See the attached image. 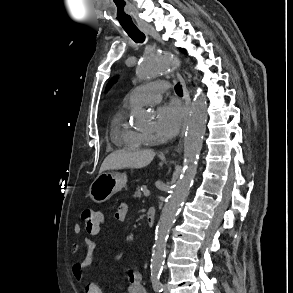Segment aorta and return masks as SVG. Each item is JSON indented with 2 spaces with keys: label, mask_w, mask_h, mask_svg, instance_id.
I'll return each mask as SVG.
<instances>
[{
  "label": "aorta",
  "mask_w": 293,
  "mask_h": 293,
  "mask_svg": "<svg viewBox=\"0 0 293 293\" xmlns=\"http://www.w3.org/2000/svg\"><path fill=\"white\" fill-rule=\"evenodd\" d=\"M176 56L169 51L158 50L142 58L137 76L139 80H150L169 73L177 63ZM139 123L148 122V117L137 114ZM207 106L203 95H195L191 105L190 116L184 138V161L179 179L172 187L171 193L162 210L156 226L155 242L153 245L151 270H161L164 264L166 243L169 232L175 222L182 203L189 195L198 166V158L202 149V139L206 129Z\"/></svg>",
  "instance_id": "1"
}]
</instances>
